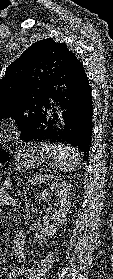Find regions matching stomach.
Listing matches in <instances>:
<instances>
[{"instance_id":"stomach-1","label":"stomach","mask_w":113,"mask_h":279,"mask_svg":"<svg viewBox=\"0 0 113 279\" xmlns=\"http://www.w3.org/2000/svg\"><path fill=\"white\" fill-rule=\"evenodd\" d=\"M49 157V153L35 145L22 146L14 152L15 164L27 169L42 165Z\"/></svg>"}]
</instances>
